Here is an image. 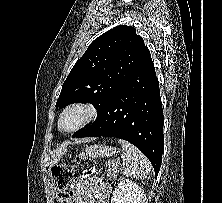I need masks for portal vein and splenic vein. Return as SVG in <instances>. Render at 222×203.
<instances>
[{
    "instance_id": "portal-vein-and-splenic-vein-1",
    "label": "portal vein and splenic vein",
    "mask_w": 222,
    "mask_h": 203,
    "mask_svg": "<svg viewBox=\"0 0 222 203\" xmlns=\"http://www.w3.org/2000/svg\"><path fill=\"white\" fill-rule=\"evenodd\" d=\"M116 163L119 164V161L117 160Z\"/></svg>"
}]
</instances>
